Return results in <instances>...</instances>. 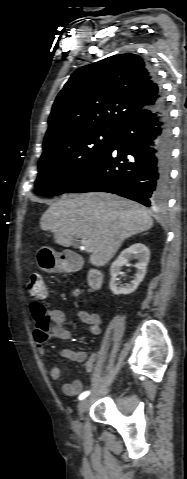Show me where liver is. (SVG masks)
<instances>
[{
	"mask_svg": "<svg viewBox=\"0 0 187 479\" xmlns=\"http://www.w3.org/2000/svg\"><path fill=\"white\" fill-rule=\"evenodd\" d=\"M153 226L150 213L139 204L109 193L65 196L50 205L40 220L42 230L51 231L54 240L70 247L75 239L91 244L89 261L106 265L124 240Z\"/></svg>",
	"mask_w": 187,
	"mask_h": 479,
	"instance_id": "1",
	"label": "liver"
}]
</instances>
